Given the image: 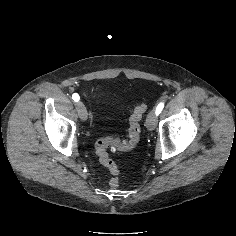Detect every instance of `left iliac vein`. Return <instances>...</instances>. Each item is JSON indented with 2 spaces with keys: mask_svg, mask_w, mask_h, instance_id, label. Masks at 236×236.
Here are the masks:
<instances>
[{
  "mask_svg": "<svg viewBox=\"0 0 236 236\" xmlns=\"http://www.w3.org/2000/svg\"><path fill=\"white\" fill-rule=\"evenodd\" d=\"M157 123V114L156 111L152 110L149 112L146 119V127L148 130L152 131L155 129Z\"/></svg>",
  "mask_w": 236,
  "mask_h": 236,
  "instance_id": "4c4485c4",
  "label": "left iliac vein"
}]
</instances>
